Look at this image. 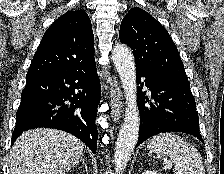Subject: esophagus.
I'll list each match as a JSON object with an SVG mask.
<instances>
[{
    "mask_svg": "<svg viewBox=\"0 0 224 174\" xmlns=\"http://www.w3.org/2000/svg\"><path fill=\"white\" fill-rule=\"evenodd\" d=\"M110 97H111V116L114 119V121H118L123 112V94L115 77H114V90L111 91Z\"/></svg>",
    "mask_w": 224,
    "mask_h": 174,
    "instance_id": "34e87169",
    "label": "esophagus"
}]
</instances>
